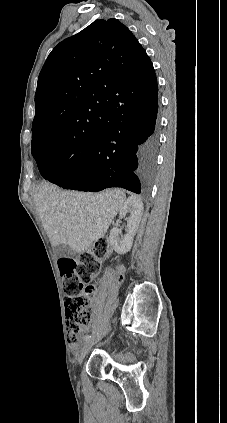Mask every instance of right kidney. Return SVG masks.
Instances as JSON below:
<instances>
[{
    "mask_svg": "<svg viewBox=\"0 0 227 423\" xmlns=\"http://www.w3.org/2000/svg\"><path fill=\"white\" fill-rule=\"evenodd\" d=\"M119 211L121 217H125L127 213H130L129 217H127V233L122 235V229L120 227H112L108 239L117 253H127L132 247L133 237L136 235L142 219L144 211L143 202H141L139 196H131V198H128L124 202Z\"/></svg>",
    "mask_w": 227,
    "mask_h": 423,
    "instance_id": "right-kidney-1",
    "label": "right kidney"
}]
</instances>
